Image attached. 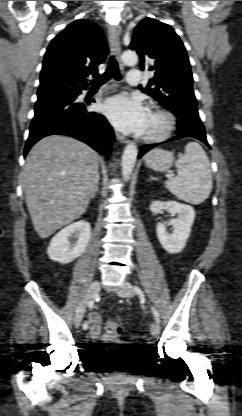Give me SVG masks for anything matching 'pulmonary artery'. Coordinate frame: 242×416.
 <instances>
[{"label": "pulmonary artery", "instance_id": "e3ab8cb5", "mask_svg": "<svg viewBox=\"0 0 242 416\" xmlns=\"http://www.w3.org/2000/svg\"><path fill=\"white\" fill-rule=\"evenodd\" d=\"M142 70L132 69L128 72L127 83L130 85H138L141 82Z\"/></svg>", "mask_w": 242, "mask_h": 416}]
</instances>
